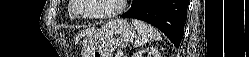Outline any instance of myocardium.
<instances>
[{"label": "myocardium", "instance_id": "obj_1", "mask_svg": "<svg viewBox=\"0 0 249 57\" xmlns=\"http://www.w3.org/2000/svg\"><path fill=\"white\" fill-rule=\"evenodd\" d=\"M73 14L75 15V17L79 18V19H83V20H97V19H110L113 18L115 16H118L119 14H121L123 12V10L126 7L127 4V0H120V4L119 6L110 12L107 13H100V14H92V15H84L80 12V10L83 7V1L82 0H73Z\"/></svg>", "mask_w": 249, "mask_h": 57}]
</instances>
